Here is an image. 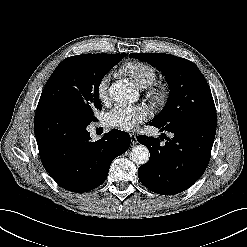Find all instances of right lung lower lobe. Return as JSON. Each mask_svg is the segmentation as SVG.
<instances>
[{"mask_svg": "<svg viewBox=\"0 0 247 247\" xmlns=\"http://www.w3.org/2000/svg\"><path fill=\"white\" fill-rule=\"evenodd\" d=\"M84 124L50 108H37L34 131L41 162L62 188L86 192L107 178L111 162L130 146L127 132L111 130L93 142Z\"/></svg>", "mask_w": 247, "mask_h": 247, "instance_id": "1", "label": "right lung lower lobe"}]
</instances>
